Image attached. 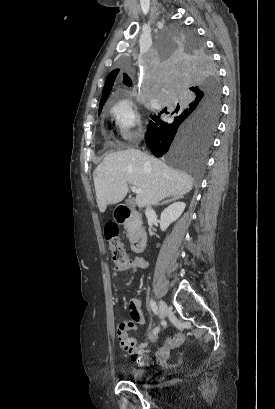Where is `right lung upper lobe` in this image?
<instances>
[{"label":"right lung upper lobe","instance_id":"1","mask_svg":"<svg viewBox=\"0 0 275 409\" xmlns=\"http://www.w3.org/2000/svg\"><path fill=\"white\" fill-rule=\"evenodd\" d=\"M117 74H118L117 70H113L111 73L108 74L106 82H105V86H104V89H103L102 98H101L100 105H99V110H101L103 105L105 104V102H106V100H107V98H108V96L110 94V91L112 89V86L114 84V81H115V78H116ZM123 76H124L123 82L125 84H127V85H130L131 80H130L129 76L127 74H123ZM194 91L195 90H192V92H194Z\"/></svg>","mask_w":275,"mask_h":409}]
</instances>
